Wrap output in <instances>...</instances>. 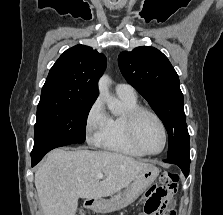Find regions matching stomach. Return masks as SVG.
<instances>
[{"mask_svg": "<svg viewBox=\"0 0 223 215\" xmlns=\"http://www.w3.org/2000/svg\"><path fill=\"white\" fill-rule=\"evenodd\" d=\"M158 175H159L158 167H155V165H152V163H150V165H147V167H144V169H141V171L137 173L134 179V183H132L131 187H129V189L132 192L129 195H127L128 197H126L127 199L124 202L121 201L119 205H115L114 204L115 202L108 203V202L96 201L95 207H97V211H101V213H105V211L107 210L114 211V207L113 209H105L102 207L117 206L118 209V207H125L127 203H132V201H134V199H136V197H138L140 193H143V191H146L147 187H150L151 183L155 181Z\"/></svg>", "mask_w": 223, "mask_h": 215, "instance_id": "0dacf381", "label": "stomach"}]
</instances>
